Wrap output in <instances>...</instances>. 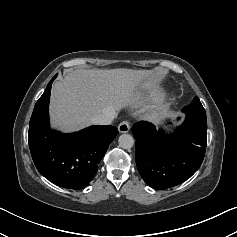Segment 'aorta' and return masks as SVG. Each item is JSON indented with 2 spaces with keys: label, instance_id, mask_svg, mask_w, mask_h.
I'll use <instances>...</instances> for the list:
<instances>
[{
  "label": "aorta",
  "instance_id": "1",
  "mask_svg": "<svg viewBox=\"0 0 237 237\" xmlns=\"http://www.w3.org/2000/svg\"><path fill=\"white\" fill-rule=\"evenodd\" d=\"M119 146L123 149H130L134 145V138L130 134H122L118 139Z\"/></svg>",
  "mask_w": 237,
  "mask_h": 237
}]
</instances>
